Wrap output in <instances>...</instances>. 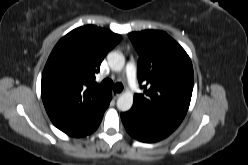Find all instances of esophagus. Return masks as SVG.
<instances>
[{
  "mask_svg": "<svg viewBox=\"0 0 248 165\" xmlns=\"http://www.w3.org/2000/svg\"><path fill=\"white\" fill-rule=\"evenodd\" d=\"M121 94H122V93L114 92V93H113V96H114L115 99H117L118 97L121 96Z\"/></svg>",
  "mask_w": 248,
  "mask_h": 165,
  "instance_id": "34e87169",
  "label": "esophagus"
}]
</instances>
